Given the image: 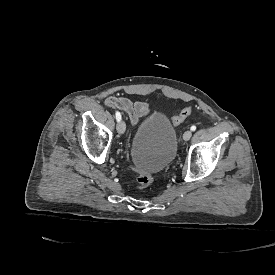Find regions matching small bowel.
Segmentation results:
<instances>
[{"instance_id":"obj_1","label":"small bowel","mask_w":275,"mask_h":275,"mask_svg":"<svg viewBox=\"0 0 275 275\" xmlns=\"http://www.w3.org/2000/svg\"><path fill=\"white\" fill-rule=\"evenodd\" d=\"M104 104L113 109L126 112L133 127L139 125L140 119L149 116L150 108L145 101H132L125 96H108Z\"/></svg>"}]
</instances>
